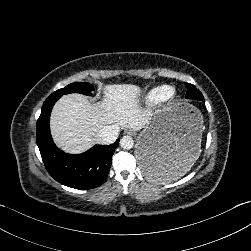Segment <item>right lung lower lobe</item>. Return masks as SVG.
I'll use <instances>...</instances> for the list:
<instances>
[{
	"label": "right lung lower lobe",
	"mask_w": 251,
	"mask_h": 251,
	"mask_svg": "<svg viewBox=\"0 0 251 251\" xmlns=\"http://www.w3.org/2000/svg\"><path fill=\"white\" fill-rule=\"evenodd\" d=\"M60 97L51 95L42 106L37 121L36 139L48 173L59 183L75 189H93L103 184L108 176L112 155L119 139L111 145H95L85 153H64L54 144L49 128L53 105Z\"/></svg>",
	"instance_id": "obj_1"
}]
</instances>
